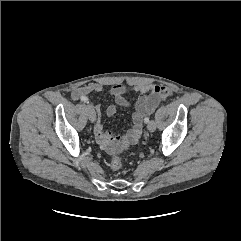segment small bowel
Segmentation results:
<instances>
[{
    "mask_svg": "<svg viewBox=\"0 0 241 241\" xmlns=\"http://www.w3.org/2000/svg\"><path fill=\"white\" fill-rule=\"evenodd\" d=\"M103 90L102 84L90 83L78 88H75L71 97L77 101L83 96H87L93 92H100ZM110 95L114 98L115 104H111L106 108L108 116H114L117 112V106L128 107L129 101L126 99L125 94L130 92H138L139 97L135 104V110L132 115V127L122 135H116L107 132L103 128L100 120L101 105L95 104L98 119L94 126L95 138L100 147L110 155L122 152L130 145L135 144L140 138L143 118L149 114L153 108L163 99L170 96L171 91L168 87L159 84H146L138 86H125L116 84L110 88Z\"/></svg>",
    "mask_w": 241,
    "mask_h": 241,
    "instance_id": "c3829d8e",
    "label": "small bowel"
}]
</instances>
